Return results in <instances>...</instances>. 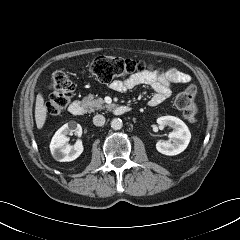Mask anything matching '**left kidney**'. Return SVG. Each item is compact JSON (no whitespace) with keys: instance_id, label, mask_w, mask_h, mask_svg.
<instances>
[{"instance_id":"1","label":"left kidney","mask_w":240,"mask_h":240,"mask_svg":"<svg viewBox=\"0 0 240 240\" xmlns=\"http://www.w3.org/2000/svg\"><path fill=\"white\" fill-rule=\"evenodd\" d=\"M157 123L161 127L169 126L173 128V131L169 134V141H158L156 143L158 152L173 156L180 154L187 148L191 139V133L181 119L175 116H162L157 119Z\"/></svg>"}]
</instances>
